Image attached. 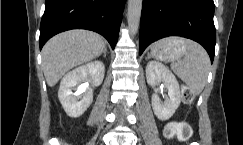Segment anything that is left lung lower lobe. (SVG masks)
Returning <instances> with one entry per match:
<instances>
[{
	"label": "left lung lower lobe",
	"instance_id": "obj_1",
	"mask_svg": "<svg viewBox=\"0 0 243 145\" xmlns=\"http://www.w3.org/2000/svg\"><path fill=\"white\" fill-rule=\"evenodd\" d=\"M213 0H143L140 55L152 42L182 36L200 43L213 62L216 32Z\"/></svg>",
	"mask_w": 243,
	"mask_h": 145
}]
</instances>
